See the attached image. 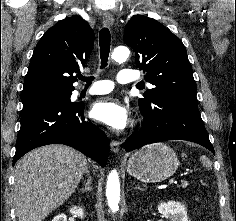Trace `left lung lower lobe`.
<instances>
[{"label":"left lung lower lobe","instance_id":"0a47b994","mask_svg":"<svg viewBox=\"0 0 236 221\" xmlns=\"http://www.w3.org/2000/svg\"><path fill=\"white\" fill-rule=\"evenodd\" d=\"M197 105L196 98L166 96L151 107L140 108L143 126L139 133L125 141V150L129 152L146 144L181 139L198 143L214 154Z\"/></svg>","mask_w":236,"mask_h":221}]
</instances>
